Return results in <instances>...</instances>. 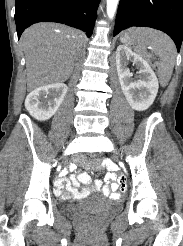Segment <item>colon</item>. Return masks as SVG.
I'll use <instances>...</instances> for the list:
<instances>
[{
	"instance_id": "colon-1",
	"label": "colon",
	"mask_w": 183,
	"mask_h": 246,
	"mask_svg": "<svg viewBox=\"0 0 183 246\" xmlns=\"http://www.w3.org/2000/svg\"><path fill=\"white\" fill-rule=\"evenodd\" d=\"M94 159V156L89 153L88 155H81V160H93ZM86 226L88 229H93L94 228V224H93V221H92V218H89L87 223H86Z\"/></svg>"
}]
</instances>
